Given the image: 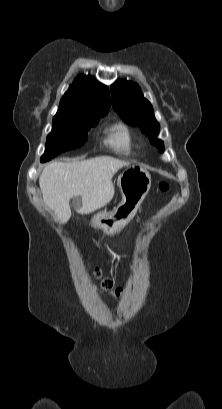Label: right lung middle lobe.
<instances>
[{"label": "right lung middle lobe", "instance_id": "right-lung-middle-lobe-1", "mask_svg": "<svg viewBox=\"0 0 222 409\" xmlns=\"http://www.w3.org/2000/svg\"><path fill=\"white\" fill-rule=\"evenodd\" d=\"M108 111L71 110L57 112L53 128L47 136L45 153L41 162L49 161L61 152L77 148L87 139V131L97 125L100 117Z\"/></svg>", "mask_w": 222, "mask_h": 409}]
</instances>
